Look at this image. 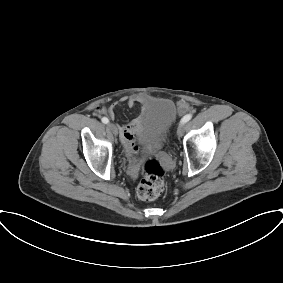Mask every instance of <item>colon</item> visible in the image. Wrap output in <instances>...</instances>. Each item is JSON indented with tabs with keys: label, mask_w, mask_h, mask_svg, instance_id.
<instances>
[{
	"label": "colon",
	"mask_w": 283,
	"mask_h": 283,
	"mask_svg": "<svg viewBox=\"0 0 283 283\" xmlns=\"http://www.w3.org/2000/svg\"><path fill=\"white\" fill-rule=\"evenodd\" d=\"M165 170L156 160H148L143 168L142 178L137 188L141 200L152 201L158 198L165 187Z\"/></svg>",
	"instance_id": "1"
}]
</instances>
